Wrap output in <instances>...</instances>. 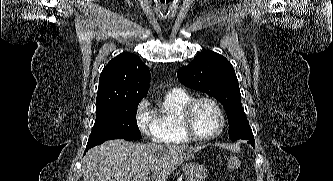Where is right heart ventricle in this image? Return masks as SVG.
Listing matches in <instances>:
<instances>
[{"label": "right heart ventricle", "instance_id": "obj_1", "mask_svg": "<svg viewBox=\"0 0 333 181\" xmlns=\"http://www.w3.org/2000/svg\"><path fill=\"white\" fill-rule=\"evenodd\" d=\"M192 96L185 91L169 92L163 104L153 111L157 122L155 140L167 144H183L191 141L182 127L181 114Z\"/></svg>", "mask_w": 333, "mask_h": 181}]
</instances>
